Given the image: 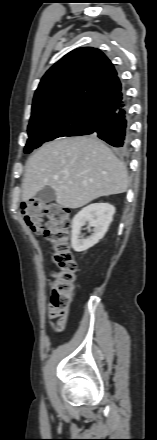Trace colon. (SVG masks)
<instances>
[{
	"mask_svg": "<svg viewBox=\"0 0 157 440\" xmlns=\"http://www.w3.org/2000/svg\"><path fill=\"white\" fill-rule=\"evenodd\" d=\"M21 214L26 225L33 232L44 234L52 245L56 270L49 309L56 317H67L78 279V265L70 243L69 210L57 203L30 199L22 203Z\"/></svg>",
	"mask_w": 157,
	"mask_h": 440,
	"instance_id": "colon-1",
	"label": "colon"
}]
</instances>
